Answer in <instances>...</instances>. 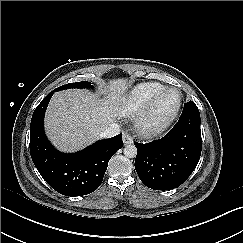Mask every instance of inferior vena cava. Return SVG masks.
Returning a JSON list of instances; mask_svg holds the SVG:
<instances>
[{
	"label": "inferior vena cava",
	"instance_id": "602c4592",
	"mask_svg": "<svg viewBox=\"0 0 243 243\" xmlns=\"http://www.w3.org/2000/svg\"><path fill=\"white\" fill-rule=\"evenodd\" d=\"M120 133V126L117 123L110 124L99 136L100 138H111Z\"/></svg>",
	"mask_w": 243,
	"mask_h": 243
}]
</instances>
